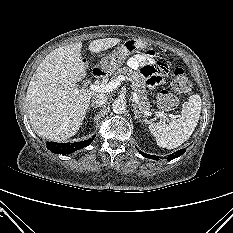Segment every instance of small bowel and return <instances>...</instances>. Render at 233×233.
<instances>
[{"label": "small bowel", "mask_w": 233, "mask_h": 233, "mask_svg": "<svg viewBox=\"0 0 233 233\" xmlns=\"http://www.w3.org/2000/svg\"><path fill=\"white\" fill-rule=\"evenodd\" d=\"M127 64L132 69H138L140 74L147 79L150 86L161 83L162 74L168 68L165 61L156 62L154 60V53L150 50L129 58Z\"/></svg>", "instance_id": "obj_1"}]
</instances>
